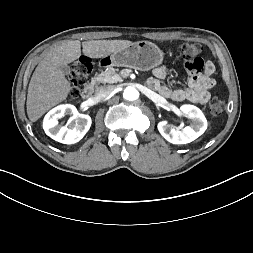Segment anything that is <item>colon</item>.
Wrapping results in <instances>:
<instances>
[{"label": "colon", "mask_w": 253, "mask_h": 253, "mask_svg": "<svg viewBox=\"0 0 253 253\" xmlns=\"http://www.w3.org/2000/svg\"><path fill=\"white\" fill-rule=\"evenodd\" d=\"M202 49L203 47L199 43L183 44L180 48L182 62L187 59L195 60L196 58H201L199 55ZM91 72L92 63L87 57L80 58L73 64L69 77V94L71 97L76 98L80 96L89 83ZM209 109L213 116H221L225 109V103L220 98L215 97L210 101Z\"/></svg>", "instance_id": "5ec220e1"}]
</instances>
